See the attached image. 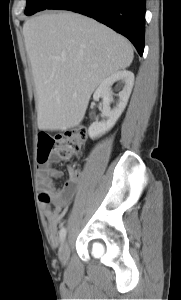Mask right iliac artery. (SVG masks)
Returning <instances> with one entry per match:
<instances>
[{
	"mask_svg": "<svg viewBox=\"0 0 181 300\" xmlns=\"http://www.w3.org/2000/svg\"><path fill=\"white\" fill-rule=\"evenodd\" d=\"M60 241L63 242L66 237V229L64 227L61 228L59 232Z\"/></svg>",
	"mask_w": 181,
	"mask_h": 300,
	"instance_id": "obj_1",
	"label": "right iliac artery"
}]
</instances>
